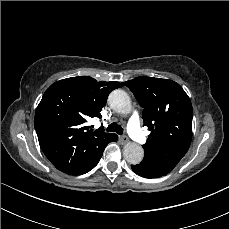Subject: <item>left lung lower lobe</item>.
Here are the masks:
<instances>
[{"mask_svg":"<svg viewBox=\"0 0 229 229\" xmlns=\"http://www.w3.org/2000/svg\"><path fill=\"white\" fill-rule=\"evenodd\" d=\"M131 168L137 175L145 177V178H158L162 176L156 173L154 170H152L148 165L144 163H140L137 165H131Z\"/></svg>","mask_w":229,"mask_h":229,"instance_id":"obj_1","label":"left lung lower lobe"}]
</instances>
